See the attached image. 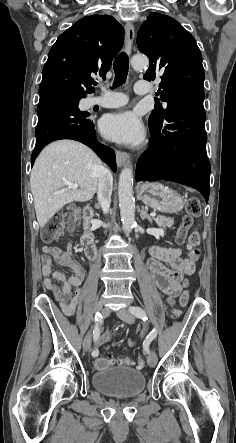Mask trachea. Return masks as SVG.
<instances>
[{"label":"trachea","instance_id":"3493384b","mask_svg":"<svg viewBox=\"0 0 236 443\" xmlns=\"http://www.w3.org/2000/svg\"><path fill=\"white\" fill-rule=\"evenodd\" d=\"M113 69L115 73L113 88H116L123 85L127 79L129 62L126 53L122 52L117 56L113 63ZM94 85H97V83H95Z\"/></svg>","mask_w":236,"mask_h":443}]
</instances>
